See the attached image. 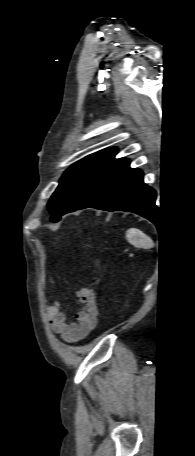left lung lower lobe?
Segmentation results:
<instances>
[{
    "label": "left lung lower lobe",
    "instance_id": "0a47b994",
    "mask_svg": "<svg viewBox=\"0 0 195 456\" xmlns=\"http://www.w3.org/2000/svg\"><path fill=\"white\" fill-rule=\"evenodd\" d=\"M155 199V191L143 182V172L130 168L129 160L123 158L103 186L77 210L127 211L153 221Z\"/></svg>",
    "mask_w": 195,
    "mask_h": 456
}]
</instances>
